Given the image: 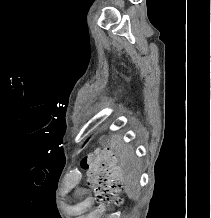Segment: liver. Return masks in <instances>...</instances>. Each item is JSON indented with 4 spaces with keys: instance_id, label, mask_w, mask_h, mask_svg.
<instances>
[{
    "instance_id": "liver-1",
    "label": "liver",
    "mask_w": 211,
    "mask_h": 218,
    "mask_svg": "<svg viewBox=\"0 0 211 218\" xmlns=\"http://www.w3.org/2000/svg\"><path fill=\"white\" fill-rule=\"evenodd\" d=\"M110 148H115L120 158L121 180L126 194L129 198H139L137 184L140 178L141 164L136 160L132 146H122L121 136L114 134L111 138Z\"/></svg>"
}]
</instances>
